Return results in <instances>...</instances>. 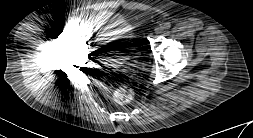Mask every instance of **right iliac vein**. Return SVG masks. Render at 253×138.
I'll return each mask as SVG.
<instances>
[{
  "label": "right iliac vein",
  "instance_id": "63e3f726",
  "mask_svg": "<svg viewBox=\"0 0 253 138\" xmlns=\"http://www.w3.org/2000/svg\"><path fill=\"white\" fill-rule=\"evenodd\" d=\"M72 30H73L74 32H78V31H79V27H78L77 25H74V26L72 27Z\"/></svg>",
  "mask_w": 253,
  "mask_h": 138
}]
</instances>
